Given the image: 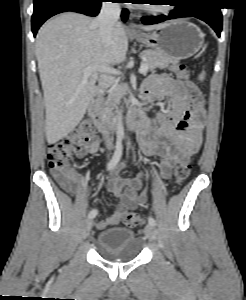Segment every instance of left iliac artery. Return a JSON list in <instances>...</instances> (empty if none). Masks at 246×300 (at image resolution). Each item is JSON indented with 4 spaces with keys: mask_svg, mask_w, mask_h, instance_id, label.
<instances>
[{
    "mask_svg": "<svg viewBox=\"0 0 246 300\" xmlns=\"http://www.w3.org/2000/svg\"><path fill=\"white\" fill-rule=\"evenodd\" d=\"M148 222H149V224H151V225H153V226L156 225V220H155L153 217H149V218H148Z\"/></svg>",
    "mask_w": 246,
    "mask_h": 300,
    "instance_id": "left-iliac-artery-1",
    "label": "left iliac artery"
}]
</instances>
